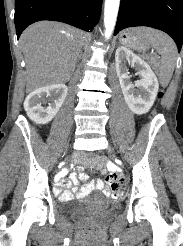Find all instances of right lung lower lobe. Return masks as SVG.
Returning a JSON list of instances; mask_svg holds the SVG:
<instances>
[{"label":"right lung lower lobe","mask_w":183,"mask_h":246,"mask_svg":"<svg viewBox=\"0 0 183 246\" xmlns=\"http://www.w3.org/2000/svg\"><path fill=\"white\" fill-rule=\"evenodd\" d=\"M101 6L102 0H15L17 38L27 26L40 20L60 21L93 32Z\"/></svg>","instance_id":"obj_1"}]
</instances>
